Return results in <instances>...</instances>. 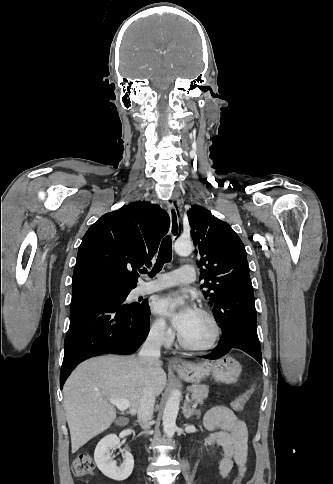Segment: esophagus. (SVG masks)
Segmentation results:
<instances>
[{
    "label": "esophagus",
    "mask_w": 333,
    "mask_h": 484,
    "mask_svg": "<svg viewBox=\"0 0 333 484\" xmlns=\"http://www.w3.org/2000/svg\"><path fill=\"white\" fill-rule=\"evenodd\" d=\"M167 212L170 216V234L173 239H176L180 233L181 210L172 202H168ZM170 364L174 367H182L185 365V362L178 358H172Z\"/></svg>",
    "instance_id": "34e87169"
}]
</instances>
